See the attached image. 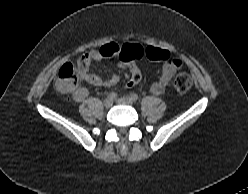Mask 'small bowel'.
I'll return each mask as SVG.
<instances>
[{
  "mask_svg": "<svg viewBox=\"0 0 248 194\" xmlns=\"http://www.w3.org/2000/svg\"><path fill=\"white\" fill-rule=\"evenodd\" d=\"M168 52L163 49H158L152 46L144 49L140 44L128 43L124 45H118L116 43H107L98 49L91 50L84 53L77 60V72L80 79L91 86L95 87H112L115 86L120 77L116 73L109 74L105 77L90 72V66L93 62L101 61L103 59L119 56L120 61L118 66L123 69H130L133 73L136 68L134 62L140 59L142 56H147L151 60L161 61L163 55ZM162 73L159 80L153 83L150 87V91L154 95H161L166 91V88L175 75V73L181 67V60L178 58H171L163 61ZM139 82V81H138ZM132 79L128 82V86H134ZM73 99L77 102H82L88 96V90L86 87L78 86L72 91Z\"/></svg>",
  "mask_w": 248,
  "mask_h": 194,
  "instance_id": "obj_1",
  "label": "small bowel"
}]
</instances>
